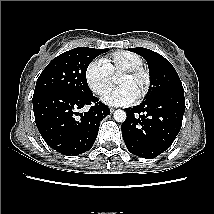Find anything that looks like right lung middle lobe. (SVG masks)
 <instances>
[{
	"label": "right lung middle lobe",
	"instance_id": "obj_1",
	"mask_svg": "<svg viewBox=\"0 0 214 214\" xmlns=\"http://www.w3.org/2000/svg\"><path fill=\"white\" fill-rule=\"evenodd\" d=\"M108 50L78 47L57 56L40 74L33 96L46 92L92 94L87 84L86 70L94 58Z\"/></svg>",
	"mask_w": 214,
	"mask_h": 214
}]
</instances>
